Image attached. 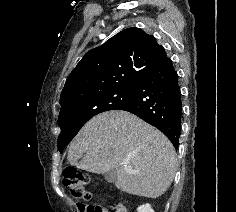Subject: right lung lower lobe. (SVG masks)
Segmentation results:
<instances>
[{
  "label": "right lung lower lobe",
  "mask_w": 236,
  "mask_h": 212,
  "mask_svg": "<svg viewBox=\"0 0 236 212\" xmlns=\"http://www.w3.org/2000/svg\"><path fill=\"white\" fill-rule=\"evenodd\" d=\"M117 110L133 113L161 130L177 149L182 101L178 74L165 55L137 85L134 95Z\"/></svg>",
  "instance_id": "obj_1"
}]
</instances>
